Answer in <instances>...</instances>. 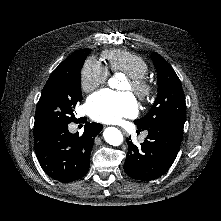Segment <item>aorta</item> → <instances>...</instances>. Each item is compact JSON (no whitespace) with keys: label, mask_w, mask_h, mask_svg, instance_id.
<instances>
[{"label":"aorta","mask_w":221,"mask_h":221,"mask_svg":"<svg viewBox=\"0 0 221 221\" xmlns=\"http://www.w3.org/2000/svg\"><path fill=\"white\" fill-rule=\"evenodd\" d=\"M117 80L115 78L109 79L110 87H116ZM105 141L113 146H119L123 142V135L120 130L114 127H108L103 132Z\"/></svg>","instance_id":"762f6f07"}]
</instances>
